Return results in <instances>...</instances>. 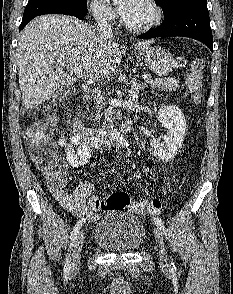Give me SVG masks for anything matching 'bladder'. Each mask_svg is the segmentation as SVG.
<instances>
[{"label": "bladder", "mask_w": 233, "mask_h": 294, "mask_svg": "<svg viewBox=\"0 0 233 294\" xmlns=\"http://www.w3.org/2000/svg\"><path fill=\"white\" fill-rule=\"evenodd\" d=\"M146 229L136 215L111 210L96 224L93 239L101 248L112 252H132L144 242Z\"/></svg>", "instance_id": "obj_1"}]
</instances>
